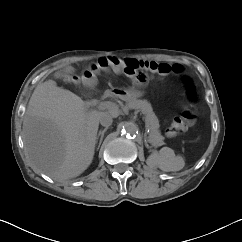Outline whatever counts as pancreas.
Returning a JSON list of instances; mask_svg holds the SVG:
<instances>
[{
    "mask_svg": "<svg viewBox=\"0 0 242 242\" xmlns=\"http://www.w3.org/2000/svg\"><path fill=\"white\" fill-rule=\"evenodd\" d=\"M127 105L130 109L139 110L144 115L145 122L150 129L149 137L151 139V142L153 144L161 143L163 137L161 136L159 130V121L157 116L153 112L151 104L147 100L132 99L127 101Z\"/></svg>",
    "mask_w": 242,
    "mask_h": 242,
    "instance_id": "cf45deb5",
    "label": "pancreas"
}]
</instances>
